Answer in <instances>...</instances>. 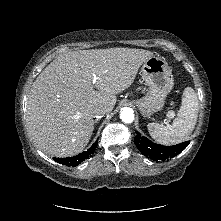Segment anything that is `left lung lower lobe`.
I'll list each match as a JSON object with an SVG mask.
<instances>
[{"instance_id": "1", "label": "left lung lower lobe", "mask_w": 221, "mask_h": 221, "mask_svg": "<svg viewBox=\"0 0 221 221\" xmlns=\"http://www.w3.org/2000/svg\"><path fill=\"white\" fill-rule=\"evenodd\" d=\"M136 147L143 153L144 156L152 160H168L181 153L189 144V142H183L173 146H163L151 142L139 133L134 138Z\"/></svg>"}]
</instances>
